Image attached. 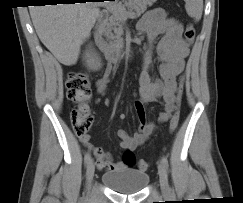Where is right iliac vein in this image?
<instances>
[{
  "label": "right iliac vein",
  "instance_id": "63e3f726",
  "mask_svg": "<svg viewBox=\"0 0 243 203\" xmlns=\"http://www.w3.org/2000/svg\"><path fill=\"white\" fill-rule=\"evenodd\" d=\"M95 172V166L92 160L89 161L87 166V188H89Z\"/></svg>",
  "mask_w": 243,
  "mask_h": 203
}]
</instances>
